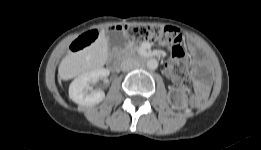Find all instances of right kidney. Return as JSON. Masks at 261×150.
<instances>
[{"label":"right kidney","mask_w":261,"mask_h":150,"mask_svg":"<svg viewBox=\"0 0 261 150\" xmlns=\"http://www.w3.org/2000/svg\"><path fill=\"white\" fill-rule=\"evenodd\" d=\"M109 74L110 71L105 68H99L81 74L75 78L69 86L70 99L83 106L99 104L105 98V93L102 90L91 92L90 84H94L100 79H106Z\"/></svg>","instance_id":"1"}]
</instances>
